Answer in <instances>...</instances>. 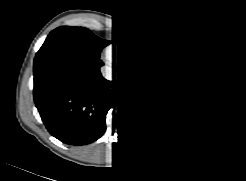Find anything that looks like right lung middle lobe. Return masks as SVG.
I'll return each mask as SVG.
<instances>
[{
  "instance_id": "right-lung-middle-lobe-1",
  "label": "right lung middle lobe",
  "mask_w": 246,
  "mask_h": 181,
  "mask_svg": "<svg viewBox=\"0 0 246 181\" xmlns=\"http://www.w3.org/2000/svg\"><path fill=\"white\" fill-rule=\"evenodd\" d=\"M111 43L84 27L61 26L54 29L37 52L34 65L57 53L79 54L96 65H103L101 52Z\"/></svg>"
}]
</instances>
